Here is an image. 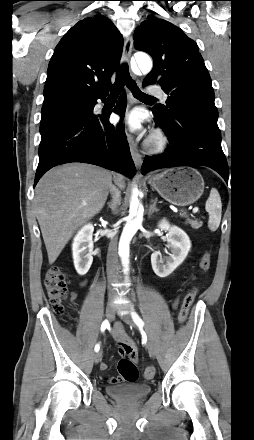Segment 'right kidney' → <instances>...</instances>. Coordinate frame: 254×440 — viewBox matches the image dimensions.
Segmentation results:
<instances>
[{
	"label": "right kidney",
	"mask_w": 254,
	"mask_h": 440,
	"mask_svg": "<svg viewBox=\"0 0 254 440\" xmlns=\"http://www.w3.org/2000/svg\"><path fill=\"white\" fill-rule=\"evenodd\" d=\"M93 231L94 226L91 223H87L77 232L73 239V262L79 275H85L93 262Z\"/></svg>",
	"instance_id": "obj_1"
}]
</instances>
